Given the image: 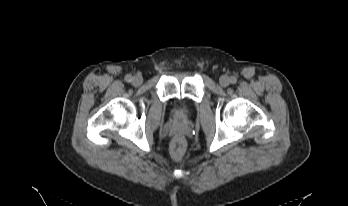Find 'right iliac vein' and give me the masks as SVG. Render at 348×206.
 I'll return each mask as SVG.
<instances>
[{
  "label": "right iliac vein",
  "instance_id": "right-iliac-vein-1",
  "mask_svg": "<svg viewBox=\"0 0 348 206\" xmlns=\"http://www.w3.org/2000/svg\"><path fill=\"white\" fill-rule=\"evenodd\" d=\"M143 82V79L141 76L137 75V76H134L133 79H132V84L134 86H140Z\"/></svg>",
  "mask_w": 348,
  "mask_h": 206
}]
</instances>
